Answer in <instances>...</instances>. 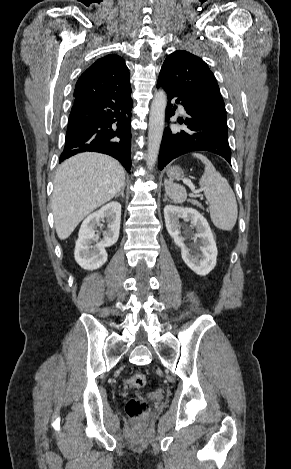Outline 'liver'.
Returning <instances> with one entry per match:
<instances>
[{
	"instance_id": "1",
	"label": "liver",
	"mask_w": 291,
	"mask_h": 469,
	"mask_svg": "<svg viewBox=\"0 0 291 469\" xmlns=\"http://www.w3.org/2000/svg\"><path fill=\"white\" fill-rule=\"evenodd\" d=\"M124 185V169L110 156L86 152L64 161L56 172L51 200L58 237L68 238L84 217Z\"/></svg>"
}]
</instances>
